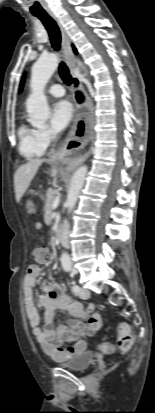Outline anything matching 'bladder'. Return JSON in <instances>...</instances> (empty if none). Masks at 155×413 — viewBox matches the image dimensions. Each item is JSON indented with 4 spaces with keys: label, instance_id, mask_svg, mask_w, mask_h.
Segmentation results:
<instances>
[{
    "label": "bladder",
    "instance_id": "31cf9c89",
    "mask_svg": "<svg viewBox=\"0 0 155 413\" xmlns=\"http://www.w3.org/2000/svg\"><path fill=\"white\" fill-rule=\"evenodd\" d=\"M93 361L94 355L91 352H83L73 356L61 366L72 371H85L93 364Z\"/></svg>",
    "mask_w": 155,
    "mask_h": 413
}]
</instances>
